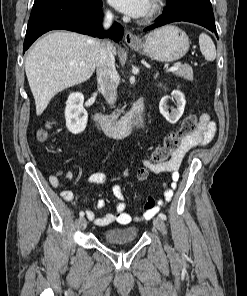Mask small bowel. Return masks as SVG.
Returning a JSON list of instances; mask_svg holds the SVG:
<instances>
[{"mask_svg":"<svg viewBox=\"0 0 247 296\" xmlns=\"http://www.w3.org/2000/svg\"><path fill=\"white\" fill-rule=\"evenodd\" d=\"M216 131L215 123L210 119L209 114L203 113L199 118L198 130L188 137H186L180 147L173 153L170 160L161 164H153L149 160H144V165L147 166L151 172L159 173H169L171 174V184L165 186V191L163 193V199L155 200L153 197L149 196L145 205L143 206V217L145 219H150L153 217L160 209V206L164 202H170L174 195V190L176 188V182L178 180L179 174L178 169L182 162L184 155L193 147L199 145H206L214 137ZM65 177L68 180L74 178V173L68 171L65 173ZM88 183L90 184H106L108 183V177L103 173L92 174L88 178ZM50 184L54 188L60 186V182L57 178L51 177ZM112 193L117 199L115 204V212L107 213L102 217H98L93 211L86 210L85 214L90 221H92L97 226H108L113 223H118L121 225H128L135 220L130 214L126 212L125 196L122 191V187L119 184H113ZM61 197L67 201L72 202L75 200V195L70 190H62L60 192ZM96 207L98 209H104L106 207V202L103 199H99L96 202Z\"/></svg>","mask_w":247,"mask_h":296,"instance_id":"small-bowel-1","label":"small bowel"}]
</instances>
